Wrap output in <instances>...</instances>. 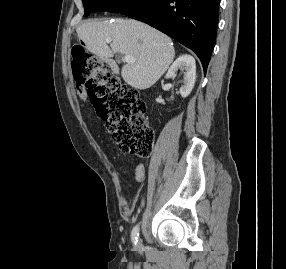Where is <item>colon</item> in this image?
<instances>
[{"label": "colon", "instance_id": "1", "mask_svg": "<svg viewBox=\"0 0 286 269\" xmlns=\"http://www.w3.org/2000/svg\"><path fill=\"white\" fill-rule=\"evenodd\" d=\"M71 56L76 83L87 89L98 116L106 122L120 150L147 157L152 150L154 131L145 120L146 105L139 92L120 83L104 62L82 44L72 46Z\"/></svg>", "mask_w": 286, "mask_h": 269}]
</instances>
